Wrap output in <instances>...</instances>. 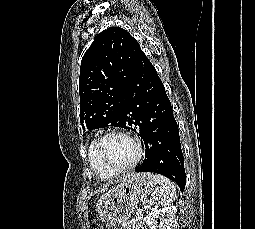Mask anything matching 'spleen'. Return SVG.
Listing matches in <instances>:
<instances>
[{
	"label": "spleen",
	"instance_id": "obj_1",
	"mask_svg": "<svg viewBox=\"0 0 255 229\" xmlns=\"http://www.w3.org/2000/svg\"><path fill=\"white\" fill-rule=\"evenodd\" d=\"M154 180L158 187L153 191L148 203L153 207L166 206L173 203L176 198V189L171 180L155 174Z\"/></svg>",
	"mask_w": 255,
	"mask_h": 229
}]
</instances>
